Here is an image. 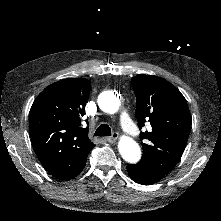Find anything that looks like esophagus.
Wrapping results in <instances>:
<instances>
[{
    "mask_svg": "<svg viewBox=\"0 0 221 221\" xmlns=\"http://www.w3.org/2000/svg\"><path fill=\"white\" fill-rule=\"evenodd\" d=\"M118 139V133L114 132L111 137H107L106 140L108 143L113 144Z\"/></svg>",
    "mask_w": 221,
    "mask_h": 221,
    "instance_id": "34e87169",
    "label": "esophagus"
}]
</instances>
